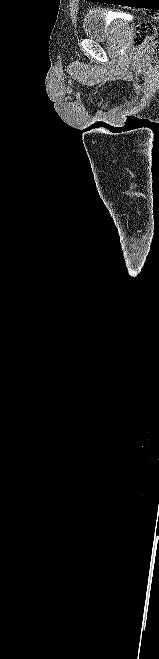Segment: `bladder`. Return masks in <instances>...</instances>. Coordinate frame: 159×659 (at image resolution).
Returning <instances> with one entry per match:
<instances>
[{"label": "bladder", "mask_w": 159, "mask_h": 659, "mask_svg": "<svg viewBox=\"0 0 159 659\" xmlns=\"http://www.w3.org/2000/svg\"><path fill=\"white\" fill-rule=\"evenodd\" d=\"M82 27L85 38L91 40L110 39L117 33L116 26L108 24L103 9H89L83 17Z\"/></svg>", "instance_id": "1"}]
</instances>
